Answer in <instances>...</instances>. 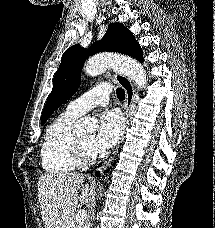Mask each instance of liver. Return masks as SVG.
Masks as SVG:
<instances>
[{"mask_svg":"<svg viewBox=\"0 0 215 228\" xmlns=\"http://www.w3.org/2000/svg\"><path fill=\"white\" fill-rule=\"evenodd\" d=\"M82 174L49 172L38 180V200L44 228H74L78 200L87 204L90 184L83 186ZM83 186L78 196L77 190Z\"/></svg>","mask_w":215,"mask_h":228,"instance_id":"6515ba94","label":"liver"}]
</instances>
